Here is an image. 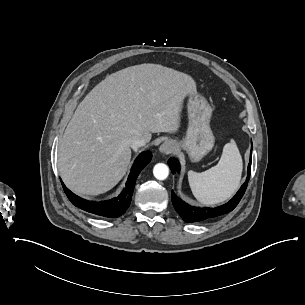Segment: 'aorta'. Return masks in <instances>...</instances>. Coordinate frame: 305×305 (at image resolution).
Here are the masks:
<instances>
[{"mask_svg":"<svg viewBox=\"0 0 305 305\" xmlns=\"http://www.w3.org/2000/svg\"><path fill=\"white\" fill-rule=\"evenodd\" d=\"M153 174L158 180H165L169 175V168L164 163H158L153 168Z\"/></svg>","mask_w":305,"mask_h":305,"instance_id":"aorta-1","label":"aorta"}]
</instances>
